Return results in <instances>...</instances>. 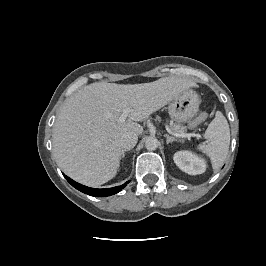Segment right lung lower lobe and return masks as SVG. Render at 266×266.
<instances>
[{
	"label": "right lung lower lobe",
	"mask_w": 266,
	"mask_h": 266,
	"mask_svg": "<svg viewBox=\"0 0 266 266\" xmlns=\"http://www.w3.org/2000/svg\"><path fill=\"white\" fill-rule=\"evenodd\" d=\"M64 175V174H63ZM64 177L67 179V181L76 189H78L79 191L86 193L88 195L91 196H96V197H105V196H110L113 194L118 193L119 191H121L126 184L129 182H126L125 184L121 185V186H117V187H113V188H107V189H95V188H90L84 185H81L75 181H73L71 178H69L68 176L64 175Z\"/></svg>",
	"instance_id": "obj_1"
}]
</instances>
